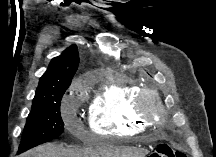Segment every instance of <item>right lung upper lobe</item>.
Here are the masks:
<instances>
[{
  "instance_id": "right-lung-upper-lobe-1",
  "label": "right lung upper lobe",
  "mask_w": 216,
  "mask_h": 157,
  "mask_svg": "<svg viewBox=\"0 0 216 157\" xmlns=\"http://www.w3.org/2000/svg\"><path fill=\"white\" fill-rule=\"evenodd\" d=\"M78 64L79 54L76 45H72L60 56L53 58L47 71L40 78L33 103H37L69 87Z\"/></svg>"
}]
</instances>
